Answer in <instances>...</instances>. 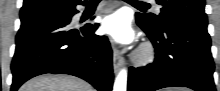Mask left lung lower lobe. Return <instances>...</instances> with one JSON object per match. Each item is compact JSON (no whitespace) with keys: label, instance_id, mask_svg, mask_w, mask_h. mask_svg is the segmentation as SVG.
<instances>
[{"label":"left lung lower lobe","instance_id":"1","mask_svg":"<svg viewBox=\"0 0 220 91\" xmlns=\"http://www.w3.org/2000/svg\"><path fill=\"white\" fill-rule=\"evenodd\" d=\"M136 20L150 38L156 57L145 67L130 68L128 91H154L170 86L215 91L207 25L179 20L158 30L148 26L138 13Z\"/></svg>","mask_w":220,"mask_h":91}]
</instances>
